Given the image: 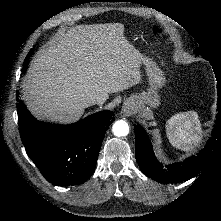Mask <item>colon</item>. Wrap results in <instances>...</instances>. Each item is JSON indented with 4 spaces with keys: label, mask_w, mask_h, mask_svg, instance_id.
<instances>
[{
    "label": "colon",
    "mask_w": 221,
    "mask_h": 221,
    "mask_svg": "<svg viewBox=\"0 0 221 221\" xmlns=\"http://www.w3.org/2000/svg\"><path fill=\"white\" fill-rule=\"evenodd\" d=\"M152 32H153L154 35H158V34L161 33V29L158 28V27H154Z\"/></svg>",
    "instance_id": "obj_1"
}]
</instances>
